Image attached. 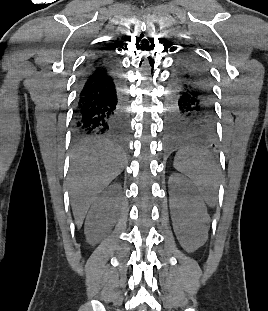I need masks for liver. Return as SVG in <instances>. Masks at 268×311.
I'll list each match as a JSON object with an SVG mask.
<instances>
[{
  "mask_svg": "<svg viewBox=\"0 0 268 311\" xmlns=\"http://www.w3.org/2000/svg\"><path fill=\"white\" fill-rule=\"evenodd\" d=\"M122 170L123 158L111 144L91 146L73 154L69 189L78 228L90 205Z\"/></svg>",
  "mask_w": 268,
  "mask_h": 311,
  "instance_id": "liver-1",
  "label": "liver"
}]
</instances>
